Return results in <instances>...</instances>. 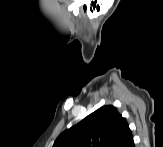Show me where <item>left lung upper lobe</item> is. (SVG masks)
Segmentation results:
<instances>
[{"instance_id": "left-lung-upper-lobe-1", "label": "left lung upper lobe", "mask_w": 163, "mask_h": 147, "mask_svg": "<svg viewBox=\"0 0 163 147\" xmlns=\"http://www.w3.org/2000/svg\"><path fill=\"white\" fill-rule=\"evenodd\" d=\"M127 126L114 106H103L62 132L53 147H114Z\"/></svg>"}]
</instances>
